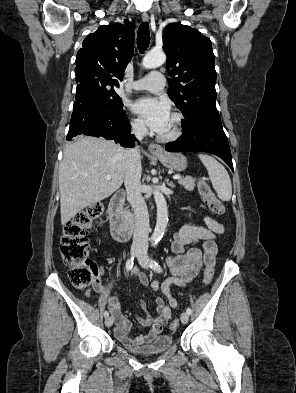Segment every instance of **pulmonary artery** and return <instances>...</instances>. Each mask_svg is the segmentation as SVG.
<instances>
[{"label":"pulmonary artery","mask_w":296,"mask_h":393,"mask_svg":"<svg viewBox=\"0 0 296 393\" xmlns=\"http://www.w3.org/2000/svg\"><path fill=\"white\" fill-rule=\"evenodd\" d=\"M164 86L165 78L160 72H151L131 84V88L135 91L148 90L151 92H160Z\"/></svg>","instance_id":"1"}]
</instances>
